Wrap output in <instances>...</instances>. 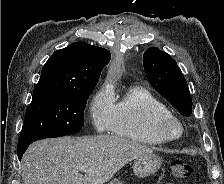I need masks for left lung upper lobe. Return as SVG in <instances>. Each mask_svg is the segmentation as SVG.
I'll return each instance as SVG.
<instances>
[{
    "mask_svg": "<svg viewBox=\"0 0 224 184\" xmlns=\"http://www.w3.org/2000/svg\"><path fill=\"white\" fill-rule=\"evenodd\" d=\"M143 65L152 85L183 116L192 113L188 85L176 61L156 47L145 51Z\"/></svg>",
    "mask_w": 224,
    "mask_h": 184,
    "instance_id": "5c2ea615",
    "label": "left lung upper lobe"
}]
</instances>
